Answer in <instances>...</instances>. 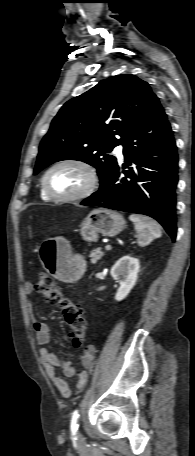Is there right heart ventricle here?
Instances as JSON below:
<instances>
[{"instance_id":"1","label":"right heart ventricle","mask_w":195,"mask_h":456,"mask_svg":"<svg viewBox=\"0 0 195 456\" xmlns=\"http://www.w3.org/2000/svg\"><path fill=\"white\" fill-rule=\"evenodd\" d=\"M40 196H41V198H42L43 200H45V201L50 200V199L45 195V193H44V191H43V189H42V186L40 187Z\"/></svg>"}]
</instances>
